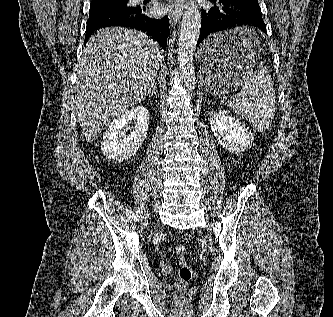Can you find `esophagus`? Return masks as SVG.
Here are the masks:
<instances>
[{"instance_id": "esophagus-1", "label": "esophagus", "mask_w": 333, "mask_h": 317, "mask_svg": "<svg viewBox=\"0 0 333 317\" xmlns=\"http://www.w3.org/2000/svg\"><path fill=\"white\" fill-rule=\"evenodd\" d=\"M184 0H170L169 3V20L172 24H176L182 15V7Z\"/></svg>"}]
</instances>
